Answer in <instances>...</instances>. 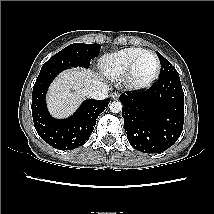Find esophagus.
Returning <instances> with one entry per match:
<instances>
[{"label":"esophagus","instance_id":"1","mask_svg":"<svg viewBox=\"0 0 214 214\" xmlns=\"http://www.w3.org/2000/svg\"><path fill=\"white\" fill-rule=\"evenodd\" d=\"M119 96H120V95H119L118 92H113V93H111V98L114 99V100L118 99Z\"/></svg>","mask_w":214,"mask_h":214}]
</instances>
